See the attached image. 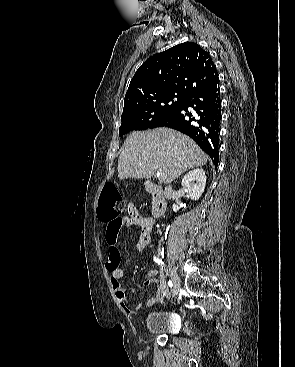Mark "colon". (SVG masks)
I'll use <instances>...</instances> for the list:
<instances>
[{
    "label": "colon",
    "mask_w": 295,
    "mask_h": 367,
    "mask_svg": "<svg viewBox=\"0 0 295 367\" xmlns=\"http://www.w3.org/2000/svg\"><path fill=\"white\" fill-rule=\"evenodd\" d=\"M124 206V201L117 187L112 183L105 184L100 196V217L102 221L109 222L118 219Z\"/></svg>",
    "instance_id": "colon-1"
}]
</instances>
